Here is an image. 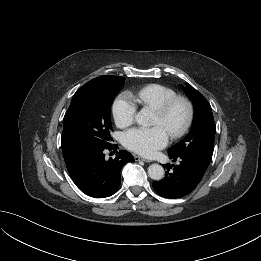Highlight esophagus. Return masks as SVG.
I'll list each match as a JSON object with an SVG mask.
<instances>
[{"label":"esophagus","instance_id":"34e87169","mask_svg":"<svg viewBox=\"0 0 261 261\" xmlns=\"http://www.w3.org/2000/svg\"><path fill=\"white\" fill-rule=\"evenodd\" d=\"M134 159H135V161H144L146 163H150L151 162L150 160L142 158V157L137 156V155L134 156Z\"/></svg>","mask_w":261,"mask_h":261}]
</instances>
